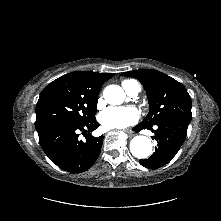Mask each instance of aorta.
Wrapping results in <instances>:
<instances>
[{"label": "aorta", "mask_w": 221, "mask_h": 221, "mask_svg": "<svg viewBox=\"0 0 221 221\" xmlns=\"http://www.w3.org/2000/svg\"><path fill=\"white\" fill-rule=\"evenodd\" d=\"M106 102L112 105L123 103L125 94L123 89L118 85H109L103 91ZM152 142L146 136H136L130 142V151L133 156L143 159L152 153Z\"/></svg>", "instance_id": "762f6f07"}]
</instances>
